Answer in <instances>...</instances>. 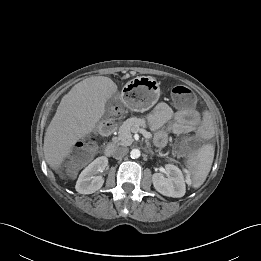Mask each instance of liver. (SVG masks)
I'll list each match as a JSON object with an SVG mask.
<instances>
[{"mask_svg":"<svg viewBox=\"0 0 261 261\" xmlns=\"http://www.w3.org/2000/svg\"><path fill=\"white\" fill-rule=\"evenodd\" d=\"M117 85L104 76H92L75 84L62 98L44 136V156L56 170L75 143L89 135L105 113V104Z\"/></svg>","mask_w":261,"mask_h":261,"instance_id":"6515ba94","label":"liver"}]
</instances>
